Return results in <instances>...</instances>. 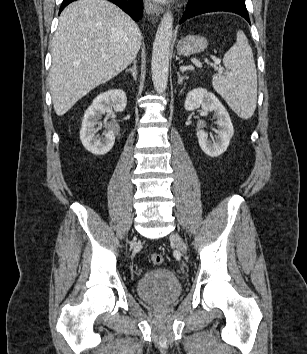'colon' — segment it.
I'll list each match as a JSON object with an SVG mask.
<instances>
[{
    "label": "colon",
    "instance_id": "colon-1",
    "mask_svg": "<svg viewBox=\"0 0 307 354\" xmlns=\"http://www.w3.org/2000/svg\"><path fill=\"white\" fill-rule=\"evenodd\" d=\"M151 261L154 265H161L164 262V257L159 253H154L151 256Z\"/></svg>",
    "mask_w": 307,
    "mask_h": 354
}]
</instances>
